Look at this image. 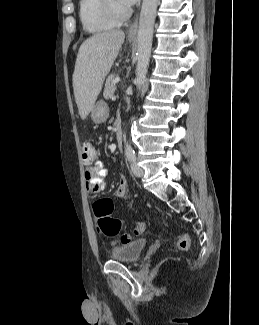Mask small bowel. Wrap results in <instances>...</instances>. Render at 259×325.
Segmentation results:
<instances>
[{"instance_id":"small-bowel-1","label":"small bowel","mask_w":259,"mask_h":325,"mask_svg":"<svg viewBox=\"0 0 259 325\" xmlns=\"http://www.w3.org/2000/svg\"><path fill=\"white\" fill-rule=\"evenodd\" d=\"M84 174L86 190L91 195H97L105 188V178L107 169L102 161L97 158L92 162H84ZM128 196V183L124 176H120L117 189L114 192L116 198H126Z\"/></svg>"}]
</instances>
